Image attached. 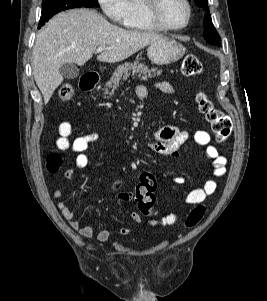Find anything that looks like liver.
<instances>
[{
  "label": "liver",
  "mask_w": 267,
  "mask_h": 301,
  "mask_svg": "<svg viewBox=\"0 0 267 301\" xmlns=\"http://www.w3.org/2000/svg\"><path fill=\"white\" fill-rule=\"evenodd\" d=\"M163 37L153 32L125 30L109 23L94 10L85 8L53 17L36 36L33 48V75L44 103H48L63 82L59 69L65 63L79 66L89 61L98 47H105L97 60L122 61Z\"/></svg>",
  "instance_id": "obj_1"
}]
</instances>
